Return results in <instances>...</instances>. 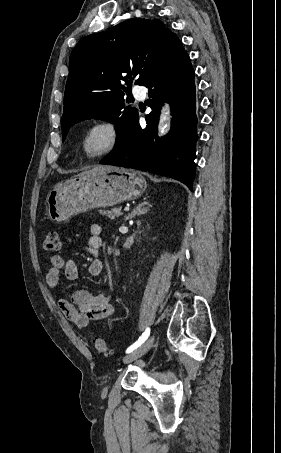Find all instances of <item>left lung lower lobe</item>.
Wrapping results in <instances>:
<instances>
[{"mask_svg": "<svg viewBox=\"0 0 281 453\" xmlns=\"http://www.w3.org/2000/svg\"><path fill=\"white\" fill-rule=\"evenodd\" d=\"M153 111L142 129L138 117L117 147L100 164L134 168L168 176L192 190L195 174L197 117L194 70L178 37H174L160 64L144 85ZM168 102L172 126L160 139L157 124L161 103Z\"/></svg>", "mask_w": 281, "mask_h": 453, "instance_id": "left-lung-lower-lobe-1", "label": "left lung lower lobe"}]
</instances>
